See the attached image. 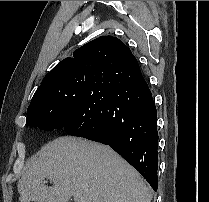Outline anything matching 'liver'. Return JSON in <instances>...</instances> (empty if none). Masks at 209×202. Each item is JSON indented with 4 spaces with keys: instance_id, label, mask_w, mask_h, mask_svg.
I'll list each match as a JSON object with an SVG mask.
<instances>
[{
    "instance_id": "liver-1",
    "label": "liver",
    "mask_w": 209,
    "mask_h": 202,
    "mask_svg": "<svg viewBox=\"0 0 209 202\" xmlns=\"http://www.w3.org/2000/svg\"><path fill=\"white\" fill-rule=\"evenodd\" d=\"M53 181L46 186L44 179ZM21 202H151L139 173L111 148L64 136L44 145L17 184Z\"/></svg>"
}]
</instances>
